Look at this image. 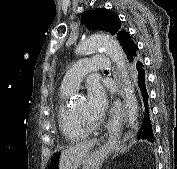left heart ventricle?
<instances>
[{
    "instance_id": "left-heart-ventricle-1",
    "label": "left heart ventricle",
    "mask_w": 177,
    "mask_h": 169,
    "mask_svg": "<svg viewBox=\"0 0 177 169\" xmlns=\"http://www.w3.org/2000/svg\"><path fill=\"white\" fill-rule=\"evenodd\" d=\"M75 111L83 115L90 121H97L101 118L100 114L93 112L89 106L87 98L83 97L75 107Z\"/></svg>"
}]
</instances>
